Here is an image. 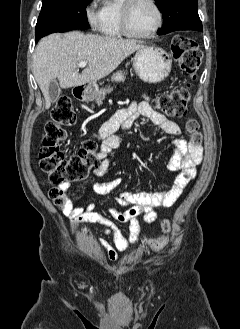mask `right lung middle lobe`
I'll use <instances>...</instances> for the list:
<instances>
[{
    "instance_id": "dd1d6c3e",
    "label": "right lung middle lobe",
    "mask_w": 240,
    "mask_h": 329,
    "mask_svg": "<svg viewBox=\"0 0 240 329\" xmlns=\"http://www.w3.org/2000/svg\"><path fill=\"white\" fill-rule=\"evenodd\" d=\"M91 0H42L36 24V42L54 32L87 29L86 6Z\"/></svg>"
}]
</instances>
